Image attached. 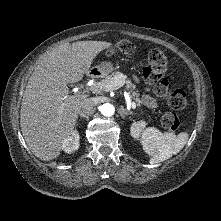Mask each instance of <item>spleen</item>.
I'll use <instances>...</instances> for the list:
<instances>
[{
	"mask_svg": "<svg viewBox=\"0 0 221 221\" xmlns=\"http://www.w3.org/2000/svg\"><path fill=\"white\" fill-rule=\"evenodd\" d=\"M189 134L186 132L175 135L174 133H161L155 127L143 131L140 143L146 154L151 156L150 163L163 162L177 154L187 143Z\"/></svg>",
	"mask_w": 221,
	"mask_h": 221,
	"instance_id": "spleen-1",
	"label": "spleen"
}]
</instances>
